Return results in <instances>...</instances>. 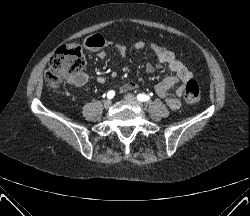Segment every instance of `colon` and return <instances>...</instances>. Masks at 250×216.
<instances>
[{"instance_id": "obj_1", "label": "colon", "mask_w": 250, "mask_h": 216, "mask_svg": "<svg viewBox=\"0 0 250 216\" xmlns=\"http://www.w3.org/2000/svg\"><path fill=\"white\" fill-rule=\"evenodd\" d=\"M84 67L85 59L81 49L76 45L63 46L51 58L45 73L46 79L51 86L56 87ZM200 98V87L195 80L191 79L185 87V100L190 104H195L200 101Z\"/></svg>"}]
</instances>
